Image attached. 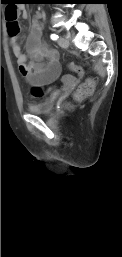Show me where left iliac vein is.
<instances>
[{
  "label": "left iliac vein",
  "instance_id": "obj_1",
  "mask_svg": "<svg viewBox=\"0 0 122 257\" xmlns=\"http://www.w3.org/2000/svg\"><path fill=\"white\" fill-rule=\"evenodd\" d=\"M58 44L62 48H67L69 46V42H68V40H67V38L65 36H61L58 39Z\"/></svg>",
  "mask_w": 122,
  "mask_h": 257
}]
</instances>
